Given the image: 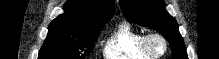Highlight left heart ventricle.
I'll use <instances>...</instances> for the list:
<instances>
[{
  "label": "left heart ventricle",
  "instance_id": "obj_1",
  "mask_svg": "<svg viewBox=\"0 0 219 59\" xmlns=\"http://www.w3.org/2000/svg\"><path fill=\"white\" fill-rule=\"evenodd\" d=\"M152 47H153V49H154L155 52H160V51H162V44H161L160 42H158V41H154V42L152 43Z\"/></svg>",
  "mask_w": 219,
  "mask_h": 59
}]
</instances>
